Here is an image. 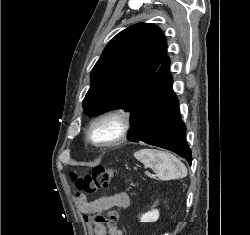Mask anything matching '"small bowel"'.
I'll list each match as a JSON object with an SVG mask.
<instances>
[{"mask_svg": "<svg viewBox=\"0 0 250 235\" xmlns=\"http://www.w3.org/2000/svg\"><path fill=\"white\" fill-rule=\"evenodd\" d=\"M130 205V196L126 192L105 195L96 201L83 202L80 209L83 213L93 216L96 212L106 211L112 208L126 209ZM88 223L93 227L94 235H123V231L117 225L103 224L90 218Z\"/></svg>", "mask_w": 250, "mask_h": 235, "instance_id": "1", "label": "small bowel"}]
</instances>
